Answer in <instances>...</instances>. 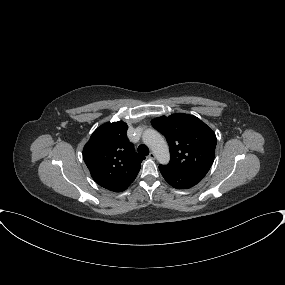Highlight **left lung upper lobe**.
Instances as JSON below:
<instances>
[{
	"instance_id": "obj_1",
	"label": "left lung upper lobe",
	"mask_w": 285,
	"mask_h": 285,
	"mask_svg": "<svg viewBox=\"0 0 285 285\" xmlns=\"http://www.w3.org/2000/svg\"><path fill=\"white\" fill-rule=\"evenodd\" d=\"M169 144L170 162L164 167L183 174H207L216 147L215 133L199 118L188 114H172L152 120Z\"/></svg>"
}]
</instances>
